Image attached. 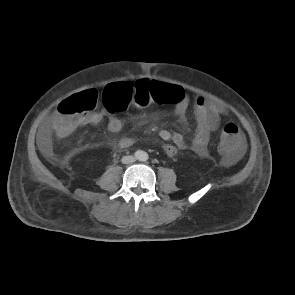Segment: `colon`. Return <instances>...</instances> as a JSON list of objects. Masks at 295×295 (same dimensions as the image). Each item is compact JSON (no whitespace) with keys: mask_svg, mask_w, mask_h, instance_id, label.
Masks as SVG:
<instances>
[{"mask_svg":"<svg viewBox=\"0 0 295 295\" xmlns=\"http://www.w3.org/2000/svg\"><path fill=\"white\" fill-rule=\"evenodd\" d=\"M178 90L173 85L140 81L133 85L129 82H117L107 85L102 93V101L107 110L122 112L132 103H137L138 109H146L147 103H174ZM98 95L94 90H86L63 100L57 107L53 129L60 137H68L83 119L95 108ZM240 129L232 122L224 124L220 137V147L223 151L235 150L240 143Z\"/></svg>","mask_w":295,"mask_h":295,"instance_id":"5ec220e1","label":"colon"}]
</instances>
